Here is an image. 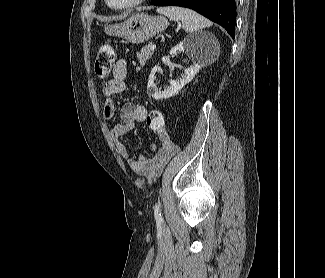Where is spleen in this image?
<instances>
[{
	"label": "spleen",
	"instance_id": "obj_1",
	"mask_svg": "<svg viewBox=\"0 0 325 278\" xmlns=\"http://www.w3.org/2000/svg\"><path fill=\"white\" fill-rule=\"evenodd\" d=\"M157 13L167 16L170 20L181 21L184 30L189 34L212 25L211 21L187 8L176 6L159 7Z\"/></svg>",
	"mask_w": 325,
	"mask_h": 278
}]
</instances>
